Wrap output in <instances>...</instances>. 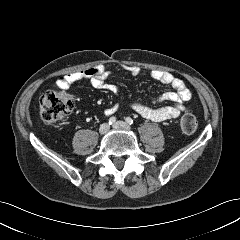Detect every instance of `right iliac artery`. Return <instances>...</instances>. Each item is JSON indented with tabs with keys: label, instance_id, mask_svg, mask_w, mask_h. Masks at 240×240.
I'll return each mask as SVG.
<instances>
[{
	"label": "right iliac artery",
	"instance_id": "obj_1",
	"mask_svg": "<svg viewBox=\"0 0 240 240\" xmlns=\"http://www.w3.org/2000/svg\"><path fill=\"white\" fill-rule=\"evenodd\" d=\"M115 121H116V118H115V117H111V118L109 119L108 123H109V125H112V124L115 123Z\"/></svg>",
	"mask_w": 240,
	"mask_h": 240
}]
</instances>
